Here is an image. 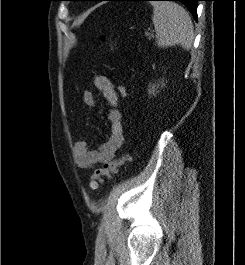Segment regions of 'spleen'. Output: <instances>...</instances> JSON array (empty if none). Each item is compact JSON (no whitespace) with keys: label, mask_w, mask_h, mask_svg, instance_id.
I'll use <instances>...</instances> for the list:
<instances>
[{"label":"spleen","mask_w":245,"mask_h":265,"mask_svg":"<svg viewBox=\"0 0 245 265\" xmlns=\"http://www.w3.org/2000/svg\"><path fill=\"white\" fill-rule=\"evenodd\" d=\"M152 21L158 47L181 45L190 49L194 40L193 23L188 12L175 2L152 1Z\"/></svg>","instance_id":"3e777b00"}]
</instances>
